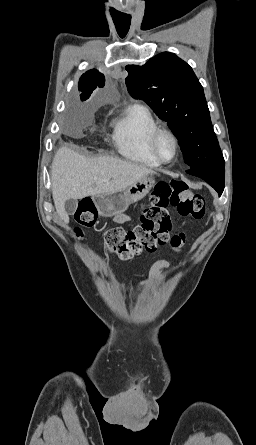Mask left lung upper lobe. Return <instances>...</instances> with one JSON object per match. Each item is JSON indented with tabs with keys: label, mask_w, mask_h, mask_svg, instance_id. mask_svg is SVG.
<instances>
[{
	"label": "left lung upper lobe",
	"mask_w": 256,
	"mask_h": 445,
	"mask_svg": "<svg viewBox=\"0 0 256 445\" xmlns=\"http://www.w3.org/2000/svg\"><path fill=\"white\" fill-rule=\"evenodd\" d=\"M126 70L129 93L146 101L167 122L190 169L225 164L203 87L186 62L164 52L143 66L128 65Z\"/></svg>",
	"instance_id": "obj_1"
}]
</instances>
